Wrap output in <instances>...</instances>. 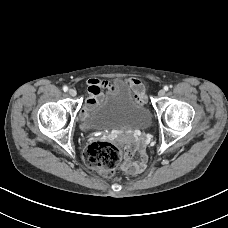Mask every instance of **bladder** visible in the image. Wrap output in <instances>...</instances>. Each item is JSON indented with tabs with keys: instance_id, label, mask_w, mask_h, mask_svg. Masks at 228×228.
<instances>
[{
	"instance_id": "bladder-1",
	"label": "bladder",
	"mask_w": 228,
	"mask_h": 228,
	"mask_svg": "<svg viewBox=\"0 0 228 228\" xmlns=\"http://www.w3.org/2000/svg\"><path fill=\"white\" fill-rule=\"evenodd\" d=\"M83 124L92 131L146 129L152 124V116L136 90L119 80L110 85Z\"/></svg>"
}]
</instances>
